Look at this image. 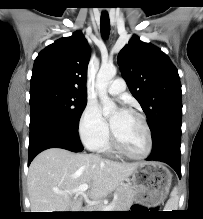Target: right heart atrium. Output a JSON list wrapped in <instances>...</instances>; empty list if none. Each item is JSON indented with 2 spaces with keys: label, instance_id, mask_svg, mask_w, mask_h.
<instances>
[{
  "label": "right heart atrium",
  "instance_id": "1",
  "mask_svg": "<svg viewBox=\"0 0 203 219\" xmlns=\"http://www.w3.org/2000/svg\"><path fill=\"white\" fill-rule=\"evenodd\" d=\"M78 131L83 144L90 149L102 148L109 139L107 122L94 103H88L79 120Z\"/></svg>",
  "mask_w": 203,
  "mask_h": 219
}]
</instances>
